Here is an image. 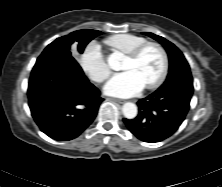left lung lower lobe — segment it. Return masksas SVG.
I'll return each instance as SVG.
<instances>
[{"label": "left lung lower lobe", "mask_w": 222, "mask_h": 187, "mask_svg": "<svg viewBox=\"0 0 222 187\" xmlns=\"http://www.w3.org/2000/svg\"><path fill=\"white\" fill-rule=\"evenodd\" d=\"M192 94V76L182 75L179 82H171L140 99L137 117L124 118L123 121L138 139L148 143L160 142L179 128L189 110Z\"/></svg>", "instance_id": "1"}]
</instances>
